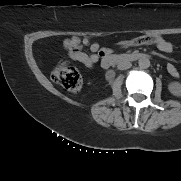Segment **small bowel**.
<instances>
[{"label":"small bowel","mask_w":181,"mask_h":181,"mask_svg":"<svg viewBox=\"0 0 181 181\" xmlns=\"http://www.w3.org/2000/svg\"><path fill=\"white\" fill-rule=\"evenodd\" d=\"M88 44L89 39L87 37L81 39L80 37L73 36L70 38H66L64 40V47L69 55V57L75 61H78L85 65L86 67H92L99 59L101 55V51L98 53L88 55L82 51L79 50V45L81 44ZM157 47L162 51H169L171 49V46L168 42H166L164 39L158 37L156 39ZM98 48L95 45L91 46L92 52H97ZM169 72L172 76H178L177 70L174 68V66H169Z\"/></svg>","instance_id":"obj_1"}]
</instances>
